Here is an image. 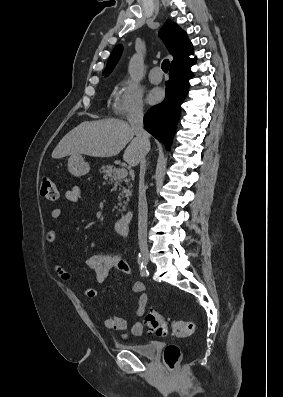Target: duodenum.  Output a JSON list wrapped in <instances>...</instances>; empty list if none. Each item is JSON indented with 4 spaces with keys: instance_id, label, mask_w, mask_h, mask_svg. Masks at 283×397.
<instances>
[{
    "instance_id": "obj_1",
    "label": "duodenum",
    "mask_w": 283,
    "mask_h": 397,
    "mask_svg": "<svg viewBox=\"0 0 283 397\" xmlns=\"http://www.w3.org/2000/svg\"><path fill=\"white\" fill-rule=\"evenodd\" d=\"M131 215L128 213L115 222V230L120 235H127L130 230Z\"/></svg>"
}]
</instances>
